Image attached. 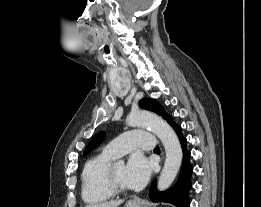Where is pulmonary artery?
<instances>
[{"instance_id": "e3ab8cb5", "label": "pulmonary artery", "mask_w": 261, "mask_h": 207, "mask_svg": "<svg viewBox=\"0 0 261 207\" xmlns=\"http://www.w3.org/2000/svg\"><path fill=\"white\" fill-rule=\"evenodd\" d=\"M154 147L155 138L151 133L142 130H130L107 144L105 151L117 158L135 149L152 150Z\"/></svg>"}]
</instances>
